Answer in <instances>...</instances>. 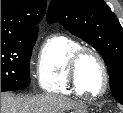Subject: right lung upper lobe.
<instances>
[{"instance_id": "right-lung-upper-lobe-1", "label": "right lung upper lobe", "mask_w": 123, "mask_h": 113, "mask_svg": "<svg viewBox=\"0 0 123 113\" xmlns=\"http://www.w3.org/2000/svg\"><path fill=\"white\" fill-rule=\"evenodd\" d=\"M46 0H1V40L37 36Z\"/></svg>"}]
</instances>
